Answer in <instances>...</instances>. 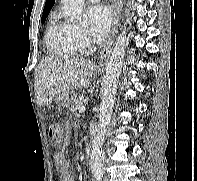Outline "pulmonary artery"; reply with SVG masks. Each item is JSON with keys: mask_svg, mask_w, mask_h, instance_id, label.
I'll return each instance as SVG.
<instances>
[{"mask_svg": "<svg viewBox=\"0 0 197 181\" xmlns=\"http://www.w3.org/2000/svg\"><path fill=\"white\" fill-rule=\"evenodd\" d=\"M89 2H98L100 0H88Z\"/></svg>", "mask_w": 197, "mask_h": 181, "instance_id": "obj_1", "label": "pulmonary artery"}]
</instances>
